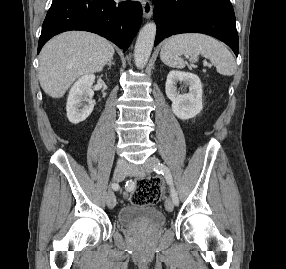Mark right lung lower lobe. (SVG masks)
Wrapping results in <instances>:
<instances>
[{"instance_id":"1","label":"right lung lower lobe","mask_w":286,"mask_h":269,"mask_svg":"<svg viewBox=\"0 0 286 269\" xmlns=\"http://www.w3.org/2000/svg\"><path fill=\"white\" fill-rule=\"evenodd\" d=\"M142 19L139 3L114 0H53L42 25L38 53L54 35L68 30L97 33L126 51Z\"/></svg>"}]
</instances>
